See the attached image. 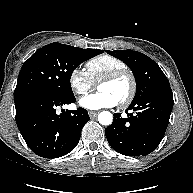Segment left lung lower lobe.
I'll return each mask as SVG.
<instances>
[{
	"label": "left lung lower lobe",
	"instance_id": "0a47b994",
	"mask_svg": "<svg viewBox=\"0 0 193 193\" xmlns=\"http://www.w3.org/2000/svg\"><path fill=\"white\" fill-rule=\"evenodd\" d=\"M169 82H164L144 97L132 101L123 118L114 114L113 123L105 129L111 147L126 156H145L154 151L164 137L173 108Z\"/></svg>",
	"mask_w": 193,
	"mask_h": 193
}]
</instances>
